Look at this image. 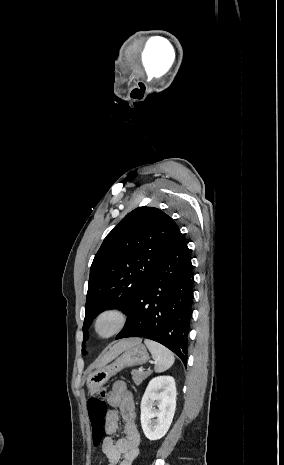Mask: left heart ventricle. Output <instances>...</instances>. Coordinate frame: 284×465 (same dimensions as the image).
Instances as JSON below:
<instances>
[{
    "label": "left heart ventricle",
    "mask_w": 284,
    "mask_h": 465,
    "mask_svg": "<svg viewBox=\"0 0 284 465\" xmlns=\"http://www.w3.org/2000/svg\"><path fill=\"white\" fill-rule=\"evenodd\" d=\"M111 325H112V322H111L110 320H105V321H103V323H102L101 329H102L103 331H107V330L110 329Z\"/></svg>",
    "instance_id": "obj_1"
}]
</instances>
